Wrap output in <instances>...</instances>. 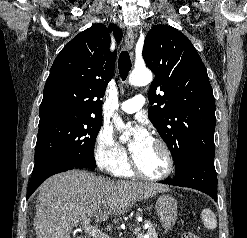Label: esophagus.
<instances>
[{
	"instance_id": "obj_1",
	"label": "esophagus",
	"mask_w": 247,
	"mask_h": 238,
	"mask_svg": "<svg viewBox=\"0 0 247 238\" xmlns=\"http://www.w3.org/2000/svg\"><path fill=\"white\" fill-rule=\"evenodd\" d=\"M125 44L128 50H132L134 46V33L132 30L126 32ZM133 54V53H132Z\"/></svg>"
}]
</instances>
